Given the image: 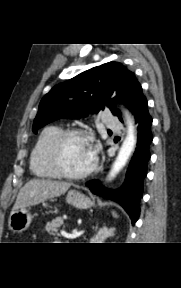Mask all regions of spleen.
<instances>
[{
	"label": "spleen",
	"mask_w": 181,
	"mask_h": 288,
	"mask_svg": "<svg viewBox=\"0 0 181 288\" xmlns=\"http://www.w3.org/2000/svg\"><path fill=\"white\" fill-rule=\"evenodd\" d=\"M112 215H113V217H115V218H117V217H118V215L116 214V212H115V211H112Z\"/></svg>",
	"instance_id": "spleen-1"
}]
</instances>
